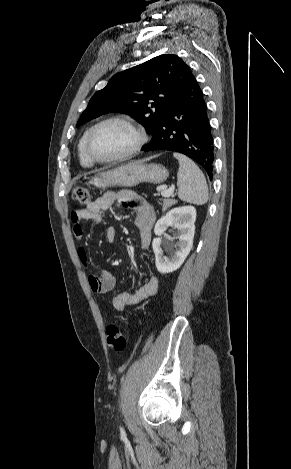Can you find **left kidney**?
I'll return each mask as SVG.
<instances>
[{"mask_svg":"<svg viewBox=\"0 0 291 469\" xmlns=\"http://www.w3.org/2000/svg\"><path fill=\"white\" fill-rule=\"evenodd\" d=\"M195 220L196 209L193 206H182L170 210L156 223L154 233L158 235V238L153 240L152 247L155 254L156 268L160 273H171L183 264L193 247ZM170 226L177 230L175 236L179 241L174 245L176 249L172 255L166 257L161 248L162 238L160 236ZM165 248L172 251L173 245L166 242Z\"/></svg>","mask_w":291,"mask_h":469,"instance_id":"5707ae66","label":"left kidney"}]
</instances>
